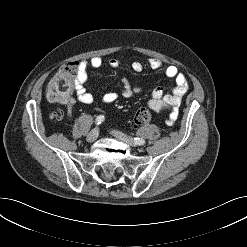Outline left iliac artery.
I'll return each mask as SVG.
<instances>
[{"instance_id":"44dca946","label":"left iliac artery","mask_w":247,"mask_h":247,"mask_svg":"<svg viewBox=\"0 0 247 247\" xmlns=\"http://www.w3.org/2000/svg\"><path fill=\"white\" fill-rule=\"evenodd\" d=\"M134 142L137 144V145H143L145 143V140L142 139V138H134Z\"/></svg>"}]
</instances>
